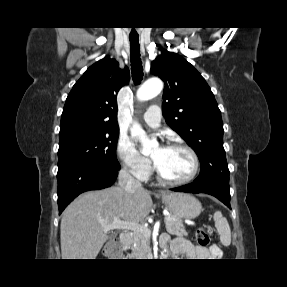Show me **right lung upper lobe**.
Instances as JSON below:
<instances>
[{"label": "right lung upper lobe", "instance_id": "cb5924a9", "mask_svg": "<svg viewBox=\"0 0 287 287\" xmlns=\"http://www.w3.org/2000/svg\"><path fill=\"white\" fill-rule=\"evenodd\" d=\"M129 79L128 68L120 69L108 56L90 66L66 99L60 129L74 124L119 128L116 95Z\"/></svg>", "mask_w": 287, "mask_h": 287}]
</instances>
